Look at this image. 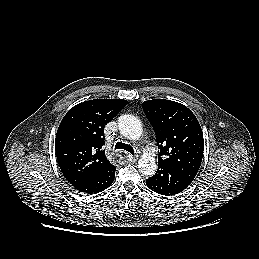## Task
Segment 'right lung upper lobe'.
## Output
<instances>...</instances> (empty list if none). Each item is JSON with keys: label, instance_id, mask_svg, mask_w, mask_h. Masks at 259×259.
Returning a JSON list of instances; mask_svg holds the SVG:
<instances>
[{"label": "right lung upper lobe", "instance_id": "right-lung-upper-lobe-1", "mask_svg": "<svg viewBox=\"0 0 259 259\" xmlns=\"http://www.w3.org/2000/svg\"><path fill=\"white\" fill-rule=\"evenodd\" d=\"M128 101L93 99L71 108L56 134L55 151L59 167L70 184L89 180L113 165L107 160L104 127Z\"/></svg>", "mask_w": 259, "mask_h": 259}]
</instances>
